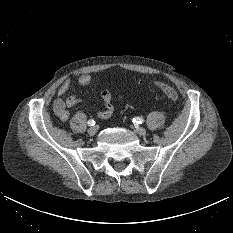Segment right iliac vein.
<instances>
[{
  "instance_id": "obj_1",
  "label": "right iliac vein",
  "mask_w": 233,
  "mask_h": 233,
  "mask_svg": "<svg viewBox=\"0 0 233 233\" xmlns=\"http://www.w3.org/2000/svg\"><path fill=\"white\" fill-rule=\"evenodd\" d=\"M97 131H98V127L93 126V127H90L88 129V134L91 135V136H93V135H95L97 133Z\"/></svg>"
}]
</instances>
